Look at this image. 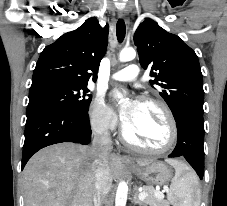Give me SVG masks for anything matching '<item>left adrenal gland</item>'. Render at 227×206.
<instances>
[{"label":"left adrenal gland","mask_w":227,"mask_h":206,"mask_svg":"<svg viewBox=\"0 0 227 206\" xmlns=\"http://www.w3.org/2000/svg\"><path fill=\"white\" fill-rule=\"evenodd\" d=\"M133 203L134 204H138L140 206H143L144 205L143 202L138 199V191H137V188H135L134 197H133Z\"/></svg>","instance_id":"a2214340"}]
</instances>
